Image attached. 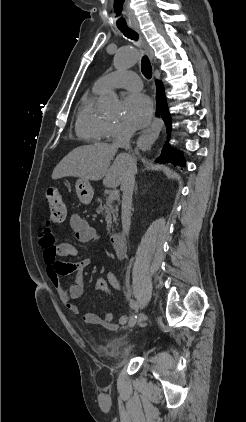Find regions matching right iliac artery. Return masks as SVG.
<instances>
[{
  "label": "right iliac artery",
  "mask_w": 246,
  "mask_h": 422,
  "mask_svg": "<svg viewBox=\"0 0 246 422\" xmlns=\"http://www.w3.org/2000/svg\"><path fill=\"white\" fill-rule=\"evenodd\" d=\"M136 319H137V315H132L131 316V318H130V320H129V325L130 326H134L135 325V323H136Z\"/></svg>",
  "instance_id": "1"
}]
</instances>
